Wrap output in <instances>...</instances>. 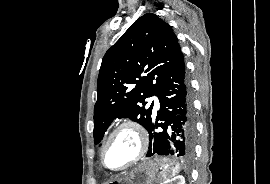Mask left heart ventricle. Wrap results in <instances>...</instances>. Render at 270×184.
<instances>
[{
	"mask_svg": "<svg viewBox=\"0 0 270 184\" xmlns=\"http://www.w3.org/2000/svg\"><path fill=\"white\" fill-rule=\"evenodd\" d=\"M139 142L131 129L121 130L110 143L105 160L110 168H119L131 161L137 154Z\"/></svg>",
	"mask_w": 270,
	"mask_h": 184,
	"instance_id": "1",
	"label": "left heart ventricle"
}]
</instances>
